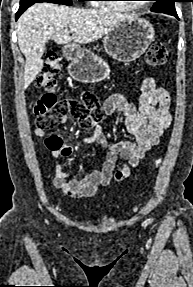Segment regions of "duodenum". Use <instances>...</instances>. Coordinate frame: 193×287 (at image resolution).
Segmentation results:
<instances>
[{
  "label": "duodenum",
  "instance_id": "1",
  "mask_svg": "<svg viewBox=\"0 0 193 287\" xmlns=\"http://www.w3.org/2000/svg\"><path fill=\"white\" fill-rule=\"evenodd\" d=\"M75 53H76V51L71 47L65 49V55L67 57H72L75 55Z\"/></svg>",
  "mask_w": 193,
  "mask_h": 287
}]
</instances>
